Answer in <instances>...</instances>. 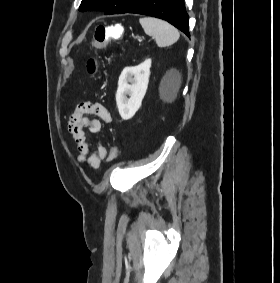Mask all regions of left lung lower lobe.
<instances>
[{"label": "left lung lower lobe", "instance_id": "obj_1", "mask_svg": "<svg viewBox=\"0 0 280 283\" xmlns=\"http://www.w3.org/2000/svg\"><path fill=\"white\" fill-rule=\"evenodd\" d=\"M126 13L144 14L164 19L190 36L184 0H142Z\"/></svg>", "mask_w": 280, "mask_h": 283}]
</instances>
